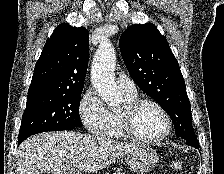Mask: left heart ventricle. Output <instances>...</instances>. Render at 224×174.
Segmentation results:
<instances>
[{"instance_id": "b2bd125f", "label": "left heart ventricle", "mask_w": 224, "mask_h": 174, "mask_svg": "<svg viewBox=\"0 0 224 174\" xmlns=\"http://www.w3.org/2000/svg\"><path fill=\"white\" fill-rule=\"evenodd\" d=\"M134 126L140 135L155 138L164 132L166 123L164 117L157 108L145 104L136 112Z\"/></svg>"}]
</instances>
